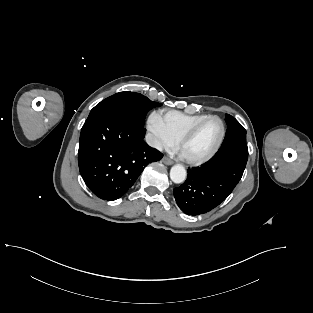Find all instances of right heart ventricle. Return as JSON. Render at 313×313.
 Segmentation results:
<instances>
[{"mask_svg": "<svg viewBox=\"0 0 313 313\" xmlns=\"http://www.w3.org/2000/svg\"><path fill=\"white\" fill-rule=\"evenodd\" d=\"M157 115L163 129L174 142H177L188 128L207 116L204 114L190 115L179 111H161Z\"/></svg>", "mask_w": 313, "mask_h": 313, "instance_id": "e07e8e85", "label": "right heart ventricle"}]
</instances>
